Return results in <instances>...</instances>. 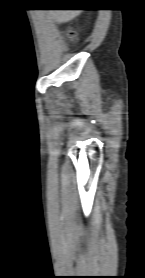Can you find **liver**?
<instances>
[{"instance_id":"obj_1","label":"liver","mask_w":145,"mask_h":278,"mask_svg":"<svg viewBox=\"0 0 145 278\" xmlns=\"http://www.w3.org/2000/svg\"><path fill=\"white\" fill-rule=\"evenodd\" d=\"M81 13L80 10H50L49 15L58 23H66Z\"/></svg>"}]
</instances>
